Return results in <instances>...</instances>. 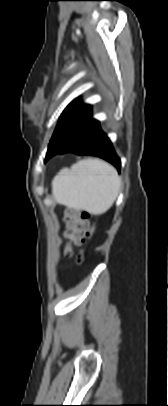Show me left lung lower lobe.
I'll return each mask as SVG.
<instances>
[{
    "label": "left lung lower lobe",
    "mask_w": 168,
    "mask_h": 406,
    "mask_svg": "<svg viewBox=\"0 0 168 406\" xmlns=\"http://www.w3.org/2000/svg\"><path fill=\"white\" fill-rule=\"evenodd\" d=\"M73 152L79 155L98 156L113 164L120 171L121 163L114 152L110 140L100 127L99 122L92 119L87 120L83 129L69 142L57 147L46 159L57 153Z\"/></svg>",
    "instance_id": "0a47b994"
}]
</instances>
